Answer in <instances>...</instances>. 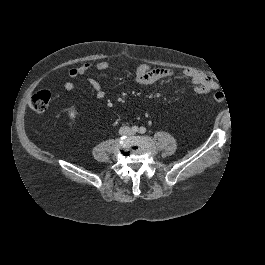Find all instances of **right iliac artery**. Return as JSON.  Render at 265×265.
I'll return each mask as SVG.
<instances>
[{"label": "right iliac artery", "mask_w": 265, "mask_h": 265, "mask_svg": "<svg viewBox=\"0 0 265 265\" xmlns=\"http://www.w3.org/2000/svg\"><path fill=\"white\" fill-rule=\"evenodd\" d=\"M138 131V127L137 126H133L132 127V132L136 133Z\"/></svg>", "instance_id": "obj_1"}]
</instances>
